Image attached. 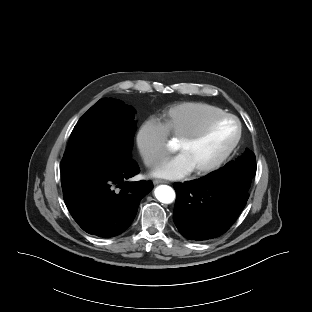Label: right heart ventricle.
I'll use <instances>...</instances> for the list:
<instances>
[{
	"instance_id": "e07e8e85",
	"label": "right heart ventricle",
	"mask_w": 312,
	"mask_h": 312,
	"mask_svg": "<svg viewBox=\"0 0 312 312\" xmlns=\"http://www.w3.org/2000/svg\"><path fill=\"white\" fill-rule=\"evenodd\" d=\"M223 113L224 110L208 103L182 102L165 109L160 114V121L168 135L180 139Z\"/></svg>"
}]
</instances>
